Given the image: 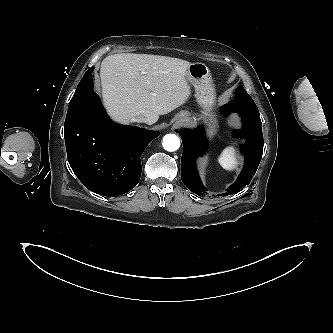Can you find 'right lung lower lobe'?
<instances>
[{"instance_id":"1","label":"right lung lower lobe","mask_w":333,"mask_h":333,"mask_svg":"<svg viewBox=\"0 0 333 333\" xmlns=\"http://www.w3.org/2000/svg\"><path fill=\"white\" fill-rule=\"evenodd\" d=\"M64 132L68 162L78 179L90 191L111 197L137 185L140 157L159 135L112 122L93 90L92 78L69 105Z\"/></svg>"}]
</instances>
